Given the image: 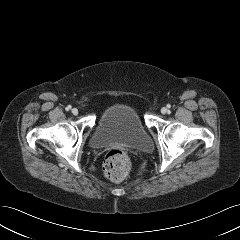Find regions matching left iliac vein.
Listing matches in <instances>:
<instances>
[{"instance_id":"1","label":"left iliac vein","mask_w":240,"mask_h":240,"mask_svg":"<svg viewBox=\"0 0 240 240\" xmlns=\"http://www.w3.org/2000/svg\"><path fill=\"white\" fill-rule=\"evenodd\" d=\"M168 112L167 108L166 107H162L161 108V113L162 114H166Z\"/></svg>"}]
</instances>
